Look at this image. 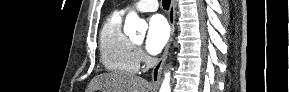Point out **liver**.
<instances>
[{
    "label": "liver",
    "instance_id": "6515ba94",
    "mask_svg": "<svg viewBox=\"0 0 289 92\" xmlns=\"http://www.w3.org/2000/svg\"><path fill=\"white\" fill-rule=\"evenodd\" d=\"M151 84L134 75L121 73H104L95 76L86 92H150Z\"/></svg>",
    "mask_w": 289,
    "mask_h": 92
}]
</instances>
